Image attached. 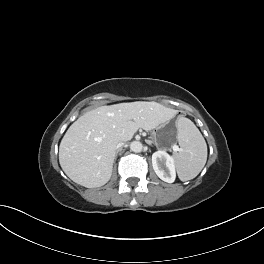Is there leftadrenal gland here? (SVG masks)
Masks as SVG:
<instances>
[{
  "instance_id": "obj_1",
  "label": "left adrenal gland",
  "mask_w": 264,
  "mask_h": 264,
  "mask_svg": "<svg viewBox=\"0 0 264 264\" xmlns=\"http://www.w3.org/2000/svg\"><path fill=\"white\" fill-rule=\"evenodd\" d=\"M147 143H148V145L151 146L153 142L152 141H148Z\"/></svg>"
}]
</instances>
